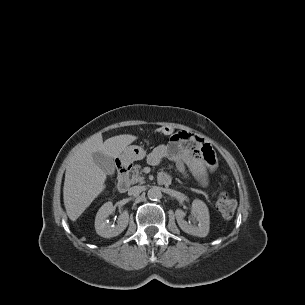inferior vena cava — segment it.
I'll use <instances>...</instances> for the list:
<instances>
[{"label": "inferior vena cava", "instance_id": "1", "mask_svg": "<svg viewBox=\"0 0 305 305\" xmlns=\"http://www.w3.org/2000/svg\"><path fill=\"white\" fill-rule=\"evenodd\" d=\"M141 186H133L128 190V195H137L141 192Z\"/></svg>", "mask_w": 305, "mask_h": 305}]
</instances>
